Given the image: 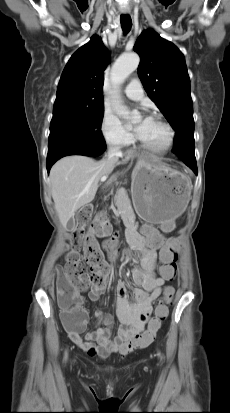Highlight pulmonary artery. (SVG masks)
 Returning a JSON list of instances; mask_svg holds the SVG:
<instances>
[{"mask_svg": "<svg viewBox=\"0 0 230 413\" xmlns=\"http://www.w3.org/2000/svg\"><path fill=\"white\" fill-rule=\"evenodd\" d=\"M125 95L132 100H141L144 92L138 78H132L124 89Z\"/></svg>", "mask_w": 230, "mask_h": 413, "instance_id": "pulmonary-artery-1", "label": "pulmonary artery"}]
</instances>
